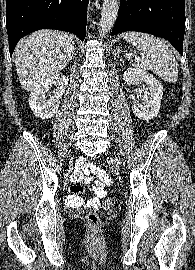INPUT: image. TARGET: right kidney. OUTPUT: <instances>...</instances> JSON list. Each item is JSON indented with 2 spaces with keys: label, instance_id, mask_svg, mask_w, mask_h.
Here are the masks:
<instances>
[{
  "label": "right kidney",
  "instance_id": "ca27d5eb",
  "mask_svg": "<svg viewBox=\"0 0 195 270\" xmlns=\"http://www.w3.org/2000/svg\"><path fill=\"white\" fill-rule=\"evenodd\" d=\"M68 84V78L65 75H54L42 81L29 96V105L34 115L41 119H49L55 115L59 108L60 99L65 92V86ZM55 85L56 90L48 99L46 93L49 88Z\"/></svg>",
  "mask_w": 195,
  "mask_h": 270
}]
</instances>
